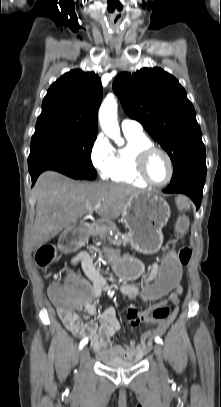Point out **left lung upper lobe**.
<instances>
[{"label": "left lung upper lobe", "instance_id": "left-lung-upper-lobe-1", "mask_svg": "<svg viewBox=\"0 0 221 407\" xmlns=\"http://www.w3.org/2000/svg\"><path fill=\"white\" fill-rule=\"evenodd\" d=\"M113 90L129 117L139 121L169 154L172 178L205 161L194 107L175 77L161 68H143L132 74L120 73Z\"/></svg>", "mask_w": 221, "mask_h": 407}]
</instances>
